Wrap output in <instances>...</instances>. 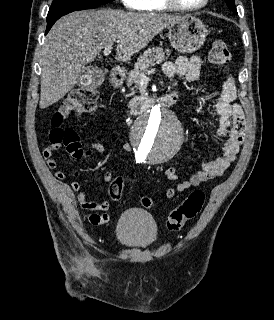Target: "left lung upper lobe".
<instances>
[{"label":"left lung upper lobe","mask_w":274,"mask_h":320,"mask_svg":"<svg viewBox=\"0 0 274 320\" xmlns=\"http://www.w3.org/2000/svg\"><path fill=\"white\" fill-rule=\"evenodd\" d=\"M227 6L231 11H233L235 14H237V10L235 7V0H225Z\"/></svg>","instance_id":"left-lung-upper-lobe-1"}]
</instances>
